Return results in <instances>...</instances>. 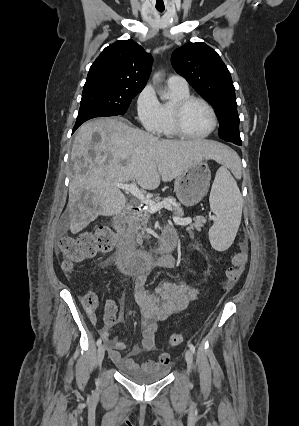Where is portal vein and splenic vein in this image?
Returning <instances> with one entry per match:
<instances>
[{
	"mask_svg": "<svg viewBox=\"0 0 299 426\" xmlns=\"http://www.w3.org/2000/svg\"><path fill=\"white\" fill-rule=\"evenodd\" d=\"M113 185L126 192L131 193L133 196L138 198L143 204L146 205L147 210H149L152 213L157 212L161 210L162 208H166L168 210L172 209L171 205L166 201L155 203L150 198H147L145 194L143 193V191L137 187L136 183L127 184V183L114 182ZM191 221L192 220L190 217H187V218L173 217V222L177 225H187V224H190Z\"/></svg>",
	"mask_w": 299,
	"mask_h": 426,
	"instance_id": "18ae733b",
	"label": "portal vein and splenic vein"
}]
</instances>
